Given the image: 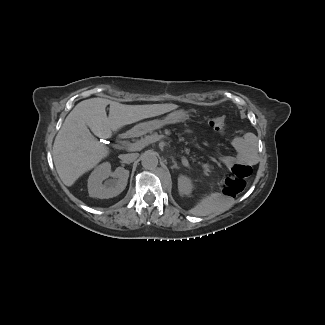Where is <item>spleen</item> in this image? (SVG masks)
Wrapping results in <instances>:
<instances>
[{"label":"spleen","mask_w":325,"mask_h":325,"mask_svg":"<svg viewBox=\"0 0 325 325\" xmlns=\"http://www.w3.org/2000/svg\"><path fill=\"white\" fill-rule=\"evenodd\" d=\"M229 199L221 193L214 192L204 196L191 210L195 216H207L212 213H222L229 207Z\"/></svg>","instance_id":"1"}]
</instances>
